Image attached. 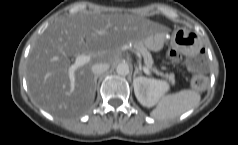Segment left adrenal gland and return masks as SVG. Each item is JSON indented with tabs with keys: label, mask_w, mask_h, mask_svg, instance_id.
<instances>
[{
	"label": "left adrenal gland",
	"mask_w": 238,
	"mask_h": 145,
	"mask_svg": "<svg viewBox=\"0 0 238 145\" xmlns=\"http://www.w3.org/2000/svg\"><path fill=\"white\" fill-rule=\"evenodd\" d=\"M137 74H142V72H141V70L137 66H135V72H134V75H133L134 79L136 78Z\"/></svg>",
	"instance_id": "obj_1"
}]
</instances>
